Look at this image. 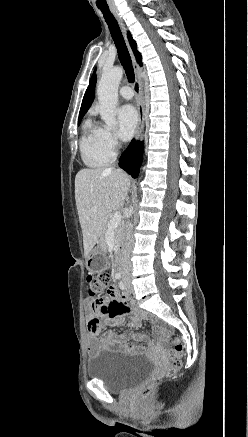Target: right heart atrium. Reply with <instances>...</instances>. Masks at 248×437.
<instances>
[{"instance_id": "1", "label": "right heart atrium", "mask_w": 248, "mask_h": 437, "mask_svg": "<svg viewBox=\"0 0 248 437\" xmlns=\"http://www.w3.org/2000/svg\"><path fill=\"white\" fill-rule=\"evenodd\" d=\"M102 141H103V145L105 147V149L107 150V152L111 155H113L115 153V150L118 146V138L116 136V134L106 128L103 127L102 128Z\"/></svg>"}]
</instances>
